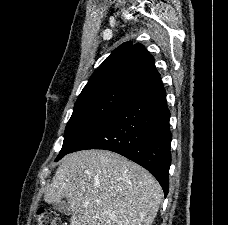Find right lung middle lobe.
Here are the masks:
<instances>
[{"label":"right lung middle lobe","mask_w":228,"mask_h":225,"mask_svg":"<svg viewBox=\"0 0 228 225\" xmlns=\"http://www.w3.org/2000/svg\"><path fill=\"white\" fill-rule=\"evenodd\" d=\"M140 90L122 82L102 84L83 90L67 123L63 147L56 161L68 154L83 136Z\"/></svg>","instance_id":"right-lung-middle-lobe-1"}]
</instances>
